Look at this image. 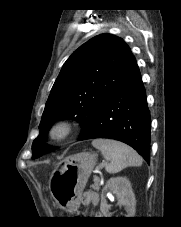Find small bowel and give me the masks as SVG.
Listing matches in <instances>:
<instances>
[{
	"mask_svg": "<svg viewBox=\"0 0 181 227\" xmlns=\"http://www.w3.org/2000/svg\"><path fill=\"white\" fill-rule=\"evenodd\" d=\"M99 194L95 191H88L86 193H84L83 197H82V202L85 205H97L99 203ZM100 213H96L95 215H99Z\"/></svg>",
	"mask_w": 181,
	"mask_h": 227,
	"instance_id": "small-bowel-1",
	"label": "small bowel"
}]
</instances>
